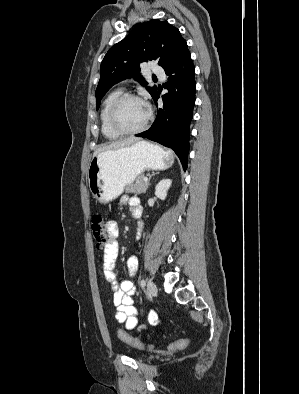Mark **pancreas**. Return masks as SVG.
<instances>
[{"mask_svg":"<svg viewBox=\"0 0 299 394\" xmlns=\"http://www.w3.org/2000/svg\"><path fill=\"white\" fill-rule=\"evenodd\" d=\"M144 178V175L138 176L135 183L126 186L125 191L136 195L145 193L148 188V182H144Z\"/></svg>","mask_w":299,"mask_h":394,"instance_id":"cf45deb5","label":"pancreas"}]
</instances>
